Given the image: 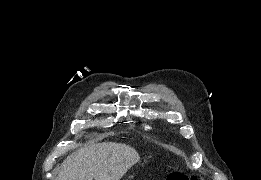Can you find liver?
Returning a JSON list of instances; mask_svg holds the SVG:
<instances>
[{"instance_id":"obj_1","label":"liver","mask_w":261,"mask_h":180,"mask_svg":"<svg viewBox=\"0 0 261 180\" xmlns=\"http://www.w3.org/2000/svg\"><path fill=\"white\" fill-rule=\"evenodd\" d=\"M137 162L139 154L126 144H92L67 156L57 180H121Z\"/></svg>"}]
</instances>
